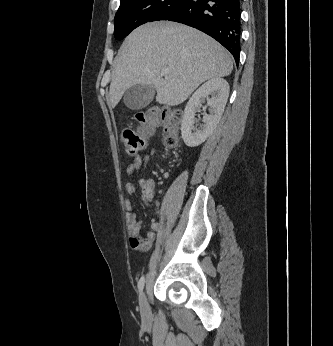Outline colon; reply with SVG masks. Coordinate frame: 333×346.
Returning a JSON list of instances; mask_svg holds the SVG:
<instances>
[{"label": "colon", "instance_id": "1", "mask_svg": "<svg viewBox=\"0 0 333 346\" xmlns=\"http://www.w3.org/2000/svg\"><path fill=\"white\" fill-rule=\"evenodd\" d=\"M135 118L139 124L138 129L124 128L120 136L128 155H134L142 150L147 137L158 129L163 130L166 148L172 149L177 145L179 124L183 118L180 109L153 106L146 111L138 112Z\"/></svg>", "mask_w": 333, "mask_h": 346}]
</instances>
